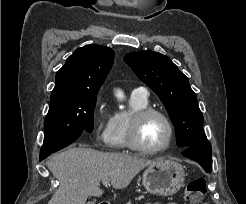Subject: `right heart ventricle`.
<instances>
[{"label":"right heart ventricle","mask_w":246,"mask_h":204,"mask_svg":"<svg viewBox=\"0 0 246 204\" xmlns=\"http://www.w3.org/2000/svg\"><path fill=\"white\" fill-rule=\"evenodd\" d=\"M148 98L131 95L130 109L128 111H118L112 116L108 146L112 149H124L128 145V129L130 118L136 111L147 108Z\"/></svg>","instance_id":"obj_1"}]
</instances>
